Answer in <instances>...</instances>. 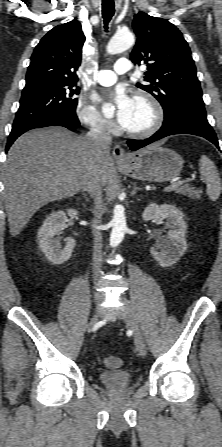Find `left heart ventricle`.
<instances>
[{"label": "left heart ventricle", "instance_id": "obj_1", "mask_svg": "<svg viewBox=\"0 0 222 447\" xmlns=\"http://www.w3.org/2000/svg\"><path fill=\"white\" fill-rule=\"evenodd\" d=\"M152 121L150 107L141 101L134 100L133 112L127 125V129L139 130L147 127Z\"/></svg>", "mask_w": 222, "mask_h": 447}]
</instances>
